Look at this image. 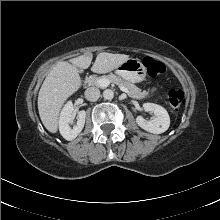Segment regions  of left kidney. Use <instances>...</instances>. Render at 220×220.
I'll return each instance as SVG.
<instances>
[{"mask_svg": "<svg viewBox=\"0 0 220 220\" xmlns=\"http://www.w3.org/2000/svg\"><path fill=\"white\" fill-rule=\"evenodd\" d=\"M143 109L154 113V117L151 120H146L142 116H138L136 123L142 129L150 133L161 134L169 128L170 117L165 108L155 103H144Z\"/></svg>", "mask_w": 220, "mask_h": 220, "instance_id": "obj_1", "label": "left kidney"}]
</instances>
